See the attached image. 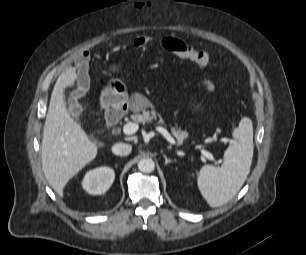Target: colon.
I'll return each mask as SVG.
<instances>
[{"label":"colon","mask_w":306,"mask_h":255,"mask_svg":"<svg viewBox=\"0 0 306 255\" xmlns=\"http://www.w3.org/2000/svg\"><path fill=\"white\" fill-rule=\"evenodd\" d=\"M148 43H149L148 37L146 36L139 37L134 41V47L138 49L144 48L147 46ZM161 43L166 50L175 53L180 57L189 59L199 66L207 67L212 62V56L208 51L198 49L194 47L192 44L187 43L185 41L171 37H166L162 39ZM205 90L208 95H213L215 92L214 83L211 81H206Z\"/></svg>","instance_id":"5ec220e1"}]
</instances>
